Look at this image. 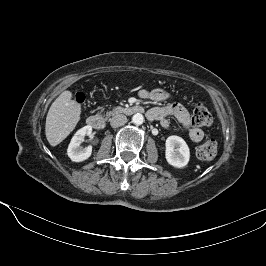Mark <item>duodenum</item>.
Returning <instances> with one entry per match:
<instances>
[{"label":"duodenum","instance_id":"410a0bca","mask_svg":"<svg viewBox=\"0 0 266 266\" xmlns=\"http://www.w3.org/2000/svg\"><path fill=\"white\" fill-rule=\"evenodd\" d=\"M116 112H121L127 115H133L136 113H143L144 109L142 106L133 105L127 108L119 109ZM106 122H107V116L105 115H91L87 119V124L96 130L104 129L106 126Z\"/></svg>","mask_w":266,"mask_h":266}]
</instances>
